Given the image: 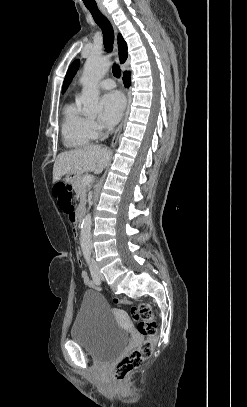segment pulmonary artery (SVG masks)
I'll return each mask as SVG.
<instances>
[{"mask_svg": "<svg viewBox=\"0 0 247 407\" xmlns=\"http://www.w3.org/2000/svg\"><path fill=\"white\" fill-rule=\"evenodd\" d=\"M116 86L114 80L110 79V78H106L103 79L102 81H100L99 83V87L102 89H113Z\"/></svg>", "mask_w": 247, "mask_h": 407, "instance_id": "obj_1", "label": "pulmonary artery"}]
</instances>
